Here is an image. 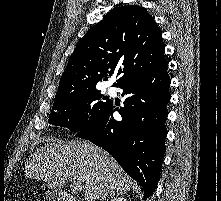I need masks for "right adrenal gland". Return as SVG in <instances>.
Masks as SVG:
<instances>
[{"label": "right adrenal gland", "mask_w": 221, "mask_h": 201, "mask_svg": "<svg viewBox=\"0 0 221 201\" xmlns=\"http://www.w3.org/2000/svg\"><path fill=\"white\" fill-rule=\"evenodd\" d=\"M104 199H106V198H102L100 201H103Z\"/></svg>", "instance_id": "1"}]
</instances>
